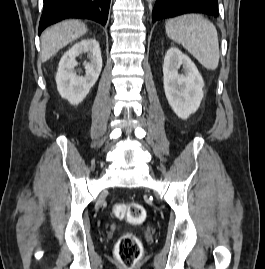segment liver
<instances>
[{"label": "liver", "instance_id": "6515ba94", "mask_svg": "<svg viewBox=\"0 0 265 269\" xmlns=\"http://www.w3.org/2000/svg\"><path fill=\"white\" fill-rule=\"evenodd\" d=\"M88 31L87 26L78 20L60 22L45 30L41 36V60L46 62L68 43Z\"/></svg>", "mask_w": 265, "mask_h": 269}]
</instances>
